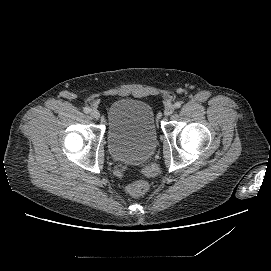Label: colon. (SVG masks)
Masks as SVG:
<instances>
[{"instance_id":"1","label":"colon","mask_w":271,"mask_h":271,"mask_svg":"<svg viewBox=\"0 0 271 271\" xmlns=\"http://www.w3.org/2000/svg\"><path fill=\"white\" fill-rule=\"evenodd\" d=\"M149 188V182L145 179L137 180L126 187V192L131 197L143 195Z\"/></svg>"}]
</instances>
